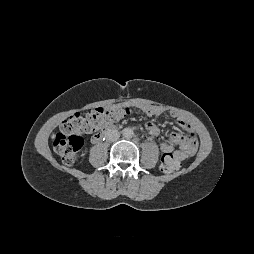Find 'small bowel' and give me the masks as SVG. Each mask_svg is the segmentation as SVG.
<instances>
[{"mask_svg":"<svg viewBox=\"0 0 254 254\" xmlns=\"http://www.w3.org/2000/svg\"><path fill=\"white\" fill-rule=\"evenodd\" d=\"M116 107H119V106H116ZM140 108L149 115H154L159 112L157 109L152 107L145 106ZM119 119L120 118H118V120ZM177 123L181 128L186 130L188 134L181 135L179 133H173L171 135L172 143L162 141L160 142L159 147L163 155L169 154V155H172L176 160L183 161L185 159L192 157L195 154L198 143H197L195 130L189 120L183 117H179L177 120ZM145 127L150 135L152 136L159 135V128L155 123L148 121L145 124ZM174 145H180L181 149L175 150Z\"/></svg>","mask_w":254,"mask_h":254,"instance_id":"obj_1","label":"small bowel"}]
</instances>
